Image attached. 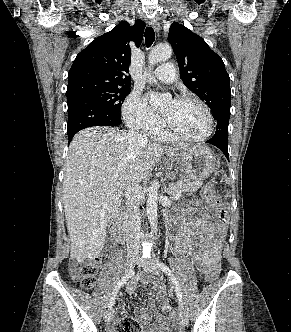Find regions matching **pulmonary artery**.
I'll return each instance as SVG.
<instances>
[{
    "mask_svg": "<svg viewBox=\"0 0 291 332\" xmlns=\"http://www.w3.org/2000/svg\"><path fill=\"white\" fill-rule=\"evenodd\" d=\"M154 77L164 83H173L177 79L175 67L172 63L160 65L153 73Z\"/></svg>",
    "mask_w": 291,
    "mask_h": 332,
    "instance_id": "1",
    "label": "pulmonary artery"
}]
</instances>
